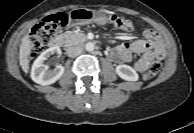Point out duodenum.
Instances as JSON below:
<instances>
[{
  "mask_svg": "<svg viewBox=\"0 0 194 133\" xmlns=\"http://www.w3.org/2000/svg\"><path fill=\"white\" fill-rule=\"evenodd\" d=\"M74 42L80 41L83 44L88 42V38L86 36H76L73 38ZM63 38L61 36H56L50 41V47L52 48H60L63 45Z\"/></svg>",
  "mask_w": 194,
  "mask_h": 133,
  "instance_id": "duodenum-1",
  "label": "duodenum"
}]
</instances>
